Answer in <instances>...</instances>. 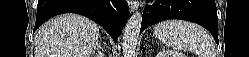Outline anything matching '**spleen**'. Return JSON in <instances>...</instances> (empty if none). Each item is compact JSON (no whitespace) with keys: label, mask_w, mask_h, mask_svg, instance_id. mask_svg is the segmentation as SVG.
I'll use <instances>...</instances> for the list:
<instances>
[{"label":"spleen","mask_w":249,"mask_h":57,"mask_svg":"<svg viewBox=\"0 0 249 57\" xmlns=\"http://www.w3.org/2000/svg\"><path fill=\"white\" fill-rule=\"evenodd\" d=\"M154 36L176 50L194 52L199 57H214V44L199 25L185 20H165L154 27Z\"/></svg>","instance_id":"spleen-1"}]
</instances>
